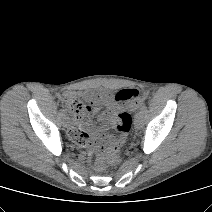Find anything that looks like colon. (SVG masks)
<instances>
[{"instance_id":"obj_1","label":"colon","mask_w":212,"mask_h":212,"mask_svg":"<svg viewBox=\"0 0 212 212\" xmlns=\"http://www.w3.org/2000/svg\"><path fill=\"white\" fill-rule=\"evenodd\" d=\"M115 99L122 102H131L134 105H138L142 100V94L140 90L136 88L121 89L115 94ZM64 107L68 113L73 117H80L85 115L89 108L76 96H67L64 99ZM132 126L131 115L123 111L118 115L116 122V129L118 136L113 138L110 146L107 148V153L104 157L98 159L96 166L97 169L103 170L107 164L117 165L120 162L119 151L123 143L125 142L126 136L129 133Z\"/></svg>"}]
</instances>
